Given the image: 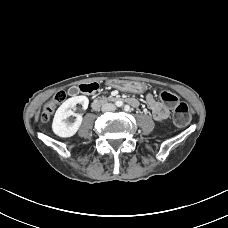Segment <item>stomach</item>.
<instances>
[{
  "label": "stomach",
  "instance_id": "stomach-1",
  "mask_svg": "<svg viewBox=\"0 0 228 228\" xmlns=\"http://www.w3.org/2000/svg\"><path fill=\"white\" fill-rule=\"evenodd\" d=\"M126 88L133 93H142L145 91V84L137 81L128 82Z\"/></svg>",
  "mask_w": 228,
  "mask_h": 228
}]
</instances>
